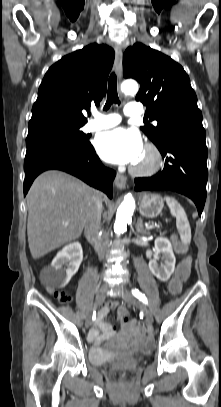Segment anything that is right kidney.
<instances>
[{"label":"right kidney","instance_id":"obj_1","mask_svg":"<svg viewBox=\"0 0 221 407\" xmlns=\"http://www.w3.org/2000/svg\"><path fill=\"white\" fill-rule=\"evenodd\" d=\"M83 259L82 247L79 242H73L66 245L57 253L53 259L51 266L53 272L50 275L51 282L60 288L65 287L72 276L76 274ZM67 264L68 268L63 269V265Z\"/></svg>","mask_w":221,"mask_h":407}]
</instances>
